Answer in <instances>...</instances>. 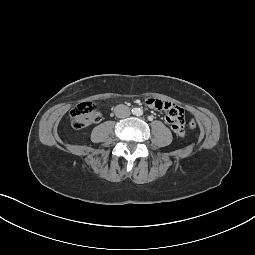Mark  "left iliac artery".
Masks as SVG:
<instances>
[{
	"label": "left iliac artery",
	"mask_w": 255,
	"mask_h": 255,
	"mask_svg": "<svg viewBox=\"0 0 255 255\" xmlns=\"http://www.w3.org/2000/svg\"><path fill=\"white\" fill-rule=\"evenodd\" d=\"M143 114V111L142 110H139V112H138V115H142Z\"/></svg>",
	"instance_id": "obj_1"
}]
</instances>
